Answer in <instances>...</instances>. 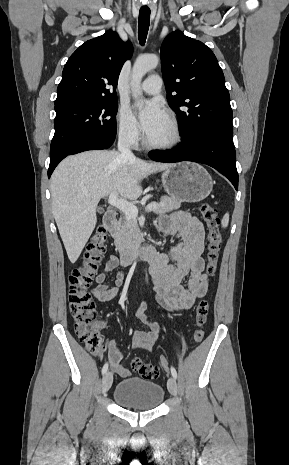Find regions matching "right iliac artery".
<instances>
[{
	"label": "right iliac artery",
	"instance_id": "obj_1",
	"mask_svg": "<svg viewBox=\"0 0 289 465\" xmlns=\"http://www.w3.org/2000/svg\"><path fill=\"white\" fill-rule=\"evenodd\" d=\"M108 370V363L104 364L103 368H102V374L104 375Z\"/></svg>",
	"mask_w": 289,
	"mask_h": 465
}]
</instances>
